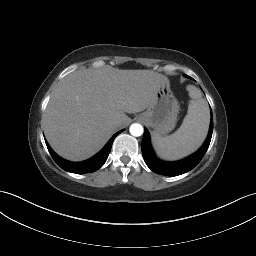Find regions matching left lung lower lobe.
Segmentation results:
<instances>
[{
  "label": "left lung lower lobe",
  "instance_id": "obj_1",
  "mask_svg": "<svg viewBox=\"0 0 256 256\" xmlns=\"http://www.w3.org/2000/svg\"><path fill=\"white\" fill-rule=\"evenodd\" d=\"M212 132L213 117L211 115V122L207 139L205 140L202 147L196 153L178 162H163L159 161L156 158L151 147L149 132L145 128L141 145L144 160L147 166L157 174L166 176H177L186 173L193 169L205 155L211 141Z\"/></svg>",
  "mask_w": 256,
  "mask_h": 256
}]
</instances>
